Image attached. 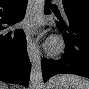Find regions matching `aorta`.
Masks as SVG:
<instances>
[{"label":"aorta","mask_w":89,"mask_h":89,"mask_svg":"<svg viewBox=\"0 0 89 89\" xmlns=\"http://www.w3.org/2000/svg\"><path fill=\"white\" fill-rule=\"evenodd\" d=\"M38 21L41 24L44 17L45 0H36ZM29 89H43V77L41 68V51L39 46L32 49V68L30 73Z\"/></svg>","instance_id":"762f6f07"}]
</instances>
